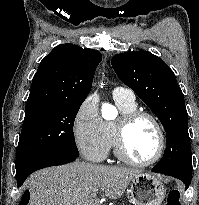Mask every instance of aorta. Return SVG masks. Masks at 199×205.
Instances as JSON below:
<instances>
[{
  "instance_id": "aorta-1",
  "label": "aorta",
  "mask_w": 199,
  "mask_h": 205,
  "mask_svg": "<svg viewBox=\"0 0 199 205\" xmlns=\"http://www.w3.org/2000/svg\"><path fill=\"white\" fill-rule=\"evenodd\" d=\"M106 108H108V106H107V105L104 107V109H106Z\"/></svg>"
}]
</instances>
